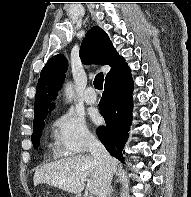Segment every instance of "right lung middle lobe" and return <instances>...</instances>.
Masks as SVG:
<instances>
[{
  "instance_id": "1",
  "label": "right lung middle lobe",
  "mask_w": 191,
  "mask_h": 197,
  "mask_svg": "<svg viewBox=\"0 0 191 197\" xmlns=\"http://www.w3.org/2000/svg\"><path fill=\"white\" fill-rule=\"evenodd\" d=\"M44 127V120L39 124L33 126V134L31 136L32 143L35 149L39 146L40 133Z\"/></svg>"
}]
</instances>
